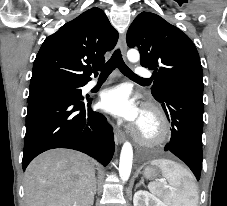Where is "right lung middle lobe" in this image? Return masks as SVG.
<instances>
[{"instance_id": "1", "label": "right lung middle lobe", "mask_w": 227, "mask_h": 206, "mask_svg": "<svg viewBox=\"0 0 227 206\" xmlns=\"http://www.w3.org/2000/svg\"><path fill=\"white\" fill-rule=\"evenodd\" d=\"M84 85L54 79L33 82L30 84L27 102L47 97L81 99V87Z\"/></svg>"}]
</instances>
